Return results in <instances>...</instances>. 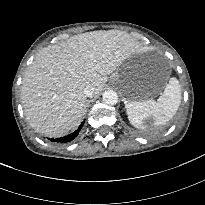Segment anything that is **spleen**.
Wrapping results in <instances>:
<instances>
[{"label": "spleen", "instance_id": "obj_1", "mask_svg": "<svg viewBox=\"0 0 205 205\" xmlns=\"http://www.w3.org/2000/svg\"><path fill=\"white\" fill-rule=\"evenodd\" d=\"M181 103V86L172 77L164 92L154 100L131 101L125 105L129 122L136 128H141L143 121L149 117L155 118L156 125H163L177 112Z\"/></svg>", "mask_w": 205, "mask_h": 205}]
</instances>
